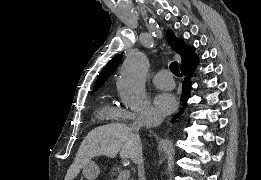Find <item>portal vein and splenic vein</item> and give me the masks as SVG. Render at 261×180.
Returning <instances> with one entry per match:
<instances>
[{
	"label": "portal vein and splenic vein",
	"instance_id": "obj_1",
	"mask_svg": "<svg viewBox=\"0 0 261 180\" xmlns=\"http://www.w3.org/2000/svg\"><path fill=\"white\" fill-rule=\"evenodd\" d=\"M131 172L129 170H123L121 174H119L117 180H129Z\"/></svg>",
	"mask_w": 261,
	"mask_h": 180
}]
</instances>
